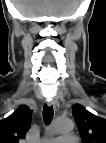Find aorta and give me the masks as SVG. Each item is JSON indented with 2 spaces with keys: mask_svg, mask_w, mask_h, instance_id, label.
<instances>
[{
  "mask_svg": "<svg viewBox=\"0 0 106 143\" xmlns=\"http://www.w3.org/2000/svg\"><path fill=\"white\" fill-rule=\"evenodd\" d=\"M74 128V123L70 119H57L52 127L51 131L53 133H69L73 130Z\"/></svg>",
  "mask_w": 106,
  "mask_h": 143,
  "instance_id": "aorta-1",
  "label": "aorta"
}]
</instances>
